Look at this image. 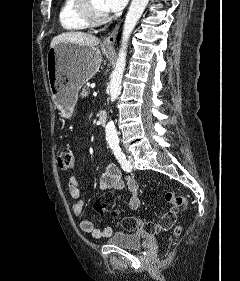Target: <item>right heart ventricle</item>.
Wrapping results in <instances>:
<instances>
[{"label": "right heart ventricle", "mask_w": 240, "mask_h": 281, "mask_svg": "<svg viewBox=\"0 0 240 281\" xmlns=\"http://www.w3.org/2000/svg\"><path fill=\"white\" fill-rule=\"evenodd\" d=\"M79 0H64L59 11V22L66 31H81L89 25L80 17L77 7Z\"/></svg>", "instance_id": "1"}]
</instances>
